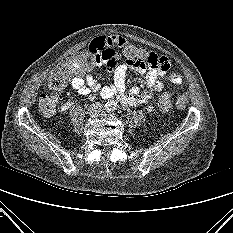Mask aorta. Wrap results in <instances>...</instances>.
Returning a JSON list of instances; mask_svg holds the SVG:
<instances>
[{"label": "aorta", "instance_id": "obj_1", "mask_svg": "<svg viewBox=\"0 0 233 233\" xmlns=\"http://www.w3.org/2000/svg\"><path fill=\"white\" fill-rule=\"evenodd\" d=\"M109 105H114V102H109Z\"/></svg>", "mask_w": 233, "mask_h": 233}]
</instances>
